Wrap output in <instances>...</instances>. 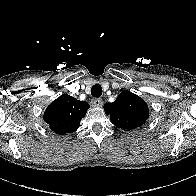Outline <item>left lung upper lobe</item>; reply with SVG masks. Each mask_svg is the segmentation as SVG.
<instances>
[{
	"label": "left lung upper lobe",
	"mask_w": 196,
	"mask_h": 196,
	"mask_svg": "<svg viewBox=\"0 0 196 196\" xmlns=\"http://www.w3.org/2000/svg\"><path fill=\"white\" fill-rule=\"evenodd\" d=\"M104 110L115 126L128 130L142 126L149 117L145 101L130 91H123L113 103H106Z\"/></svg>",
	"instance_id": "left-lung-upper-lobe-1"
}]
</instances>
